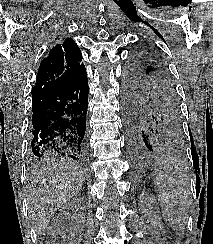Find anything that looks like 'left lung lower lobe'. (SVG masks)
I'll return each instance as SVG.
<instances>
[{"mask_svg":"<svg viewBox=\"0 0 213 244\" xmlns=\"http://www.w3.org/2000/svg\"><path fill=\"white\" fill-rule=\"evenodd\" d=\"M127 147L133 157L147 156L163 141L158 130L134 110L123 106Z\"/></svg>","mask_w":213,"mask_h":244,"instance_id":"obj_1","label":"left lung lower lobe"}]
</instances>
